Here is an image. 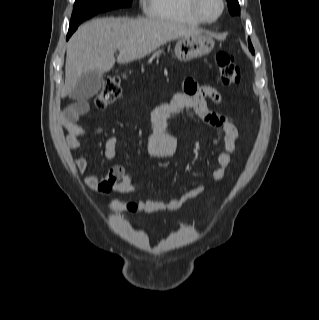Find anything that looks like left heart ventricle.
<instances>
[{
	"mask_svg": "<svg viewBox=\"0 0 319 320\" xmlns=\"http://www.w3.org/2000/svg\"><path fill=\"white\" fill-rule=\"evenodd\" d=\"M200 8L208 18H214L219 10V0H200Z\"/></svg>",
	"mask_w": 319,
	"mask_h": 320,
	"instance_id": "obj_1",
	"label": "left heart ventricle"
}]
</instances>
